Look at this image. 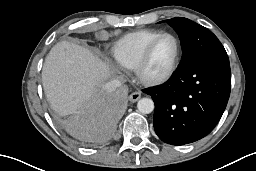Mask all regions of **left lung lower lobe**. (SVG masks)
Instances as JSON below:
<instances>
[{
  "label": "left lung lower lobe",
  "mask_w": 256,
  "mask_h": 171,
  "mask_svg": "<svg viewBox=\"0 0 256 171\" xmlns=\"http://www.w3.org/2000/svg\"><path fill=\"white\" fill-rule=\"evenodd\" d=\"M231 89L227 54L203 56L179 66L164 85L143 90L155 103L154 129L172 145L195 142L220 120Z\"/></svg>",
  "instance_id": "obj_1"
}]
</instances>
